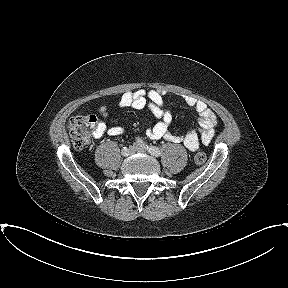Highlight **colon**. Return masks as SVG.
<instances>
[{
  "label": "colon",
  "instance_id": "1",
  "mask_svg": "<svg viewBox=\"0 0 288 288\" xmlns=\"http://www.w3.org/2000/svg\"><path fill=\"white\" fill-rule=\"evenodd\" d=\"M96 124L97 118L95 115H80L70 118L68 129L75 147L81 148L90 140L93 131L96 128ZM194 161L198 165L204 164L206 161V154L202 151L196 152Z\"/></svg>",
  "mask_w": 288,
  "mask_h": 288
}]
</instances>
